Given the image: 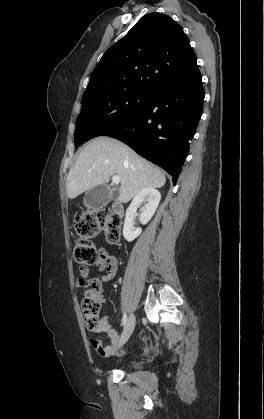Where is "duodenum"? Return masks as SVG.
<instances>
[{"mask_svg":"<svg viewBox=\"0 0 264 419\" xmlns=\"http://www.w3.org/2000/svg\"><path fill=\"white\" fill-rule=\"evenodd\" d=\"M113 212L118 215V216H122L123 215V206L120 203H115L112 207Z\"/></svg>","mask_w":264,"mask_h":419,"instance_id":"obj_1","label":"duodenum"}]
</instances>
